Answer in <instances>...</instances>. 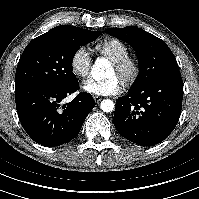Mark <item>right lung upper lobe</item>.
Masks as SVG:
<instances>
[{
	"label": "right lung upper lobe",
	"mask_w": 199,
	"mask_h": 199,
	"mask_svg": "<svg viewBox=\"0 0 199 199\" xmlns=\"http://www.w3.org/2000/svg\"><path fill=\"white\" fill-rule=\"evenodd\" d=\"M70 27H75V26L61 25V26H57V27H55V28H56V29H67V28H70Z\"/></svg>",
	"instance_id": "1"
}]
</instances>
